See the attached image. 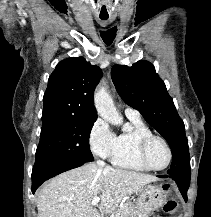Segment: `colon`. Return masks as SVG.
I'll return each instance as SVG.
<instances>
[{"label": "colon", "instance_id": "5ec220e1", "mask_svg": "<svg viewBox=\"0 0 211 217\" xmlns=\"http://www.w3.org/2000/svg\"><path fill=\"white\" fill-rule=\"evenodd\" d=\"M177 208V202L174 199H169L164 205V211L169 214L176 213Z\"/></svg>", "mask_w": 211, "mask_h": 217}]
</instances>
